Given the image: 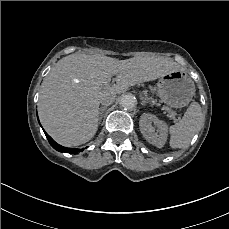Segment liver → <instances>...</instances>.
Returning a JSON list of instances; mask_svg holds the SVG:
<instances>
[{"label": "liver", "mask_w": 229, "mask_h": 229, "mask_svg": "<svg viewBox=\"0 0 229 229\" xmlns=\"http://www.w3.org/2000/svg\"><path fill=\"white\" fill-rule=\"evenodd\" d=\"M183 70L161 57L119 60L103 55L71 54L61 58L43 80L38 114L45 131L59 144L71 147L90 141L99 126V105L139 83ZM184 71V70H183ZM116 75V84L110 86Z\"/></svg>", "instance_id": "6515ba94"}]
</instances>
